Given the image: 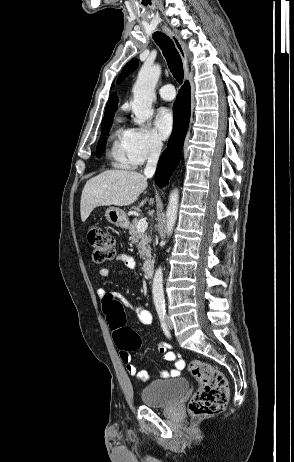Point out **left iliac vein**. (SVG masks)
<instances>
[{
  "label": "left iliac vein",
  "instance_id": "4c4485c4",
  "mask_svg": "<svg viewBox=\"0 0 294 462\" xmlns=\"http://www.w3.org/2000/svg\"><path fill=\"white\" fill-rule=\"evenodd\" d=\"M166 323H167V326H168L169 329H173V323H172L169 315H166Z\"/></svg>",
  "mask_w": 294,
  "mask_h": 462
}]
</instances>
